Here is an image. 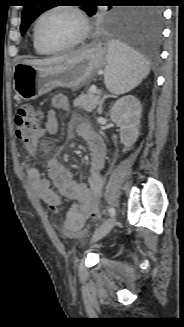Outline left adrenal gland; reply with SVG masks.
Listing matches in <instances>:
<instances>
[{
    "instance_id": "left-adrenal-gland-1",
    "label": "left adrenal gland",
    "mask_w": 184,
    "mask_h": 327,
    "mask_svg": "<svg viewBox=\"0 0 184 327\" xmlns=\"http://www.w3.org/2000/svg\"><path fill=\"white\" fill-rule=\"evenodd\" d=\"M108 97H109V95H104V96L101 98V101H100V103H99V108H98V113H99V114L102 113V105H103L105 99L108 98Z\"/></svg>"
}]
</instances>
